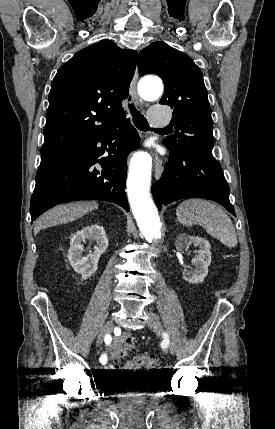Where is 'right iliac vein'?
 <instances>
[{
  "mask_svg": "<svg viewBox=\"0 0 275 429\" xmlns=\"http://www.w3.org/2000/svg\"><path fill=\"white\" fill-rule=\"evenodd\" d=\"M113 328H114V325H113V322L112 321H108L105 325H104V327L102 328V330H101V332H100V334L98 335V338H97V346H100L102 343H103V340H104V338H105V335L106 334H109V333H111L112 332V330H113Z\"/></svg>",
  "mask_w": 275,
  "mask_h": 429,
  "instance_id": "63e3f726",
  "label": "right iliac vein"
}]
</instances>
